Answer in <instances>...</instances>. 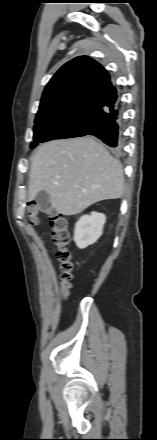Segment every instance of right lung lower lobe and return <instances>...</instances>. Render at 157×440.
Wrapping results in <instances>:
<instances>
[{
	"instance_id": "98d812e1",
	"label": "right lung lower lobe",
	"mask_w": 157,
	"mask_h": 440,
	"mask_svg": "<svg viewBox=\"0 0 157 440\" xmlns=\"http://www.w3.org/2000/svg\"><path fill=\"white\" fill-rule=\"evenodd\" d=\"M87 127L91 135L101 139L110 147L119 148L121 146L122 122L119 114V105L112 110L100 114Z\"/></svg>"
}]
</instances>
